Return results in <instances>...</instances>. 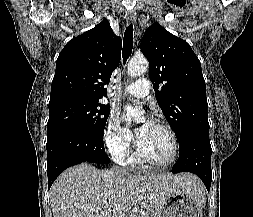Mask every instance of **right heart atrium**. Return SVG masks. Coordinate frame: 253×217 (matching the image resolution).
<instances>
[{"label": "right heart atrium", "mask_w": 253, "mask_h": 217, "mask_svg": "<svg viewBox=\"0 0 253 217\" xmlns=\"http://www.w3.org/2000/svg\"><path fill=\"white\" fill-rule=\"evenodd\" d=\"M104 140L110 154L118 161H122L129 155L134 142L132 133L121 125L114 114H111L107 120Z\"/></svg>", "instance_id": "right-heart-atrium-1"}]
</instances>
